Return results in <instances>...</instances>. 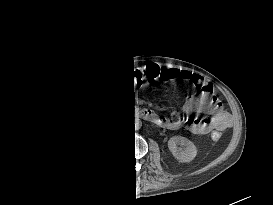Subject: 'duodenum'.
Listing matches in <instances>:
<instances>
[{"mask_svg": "<svg viewBox=\"0 0 273 205\" xmlns=\"http://www.w3.org/2000/svg\"><path fill=\"white\" fill-rule=\"evenodd\" d=\"M132 115H138L143 118L155 120L156 116L153 113H150L146 110H135L132 112Z\"/></svg>", "mask_w": 273, "mask_h": 205, "instance_id": "obj_1", "label": "duodenum"}]
</instances>
